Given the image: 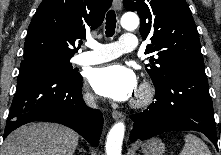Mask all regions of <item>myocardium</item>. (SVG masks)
<instances>
[{
  "label": "myocardium",
  "instance_id": "myocardium-1",
  "mask_svg": "<svg viewBox=\"0 0 221 155\" xmlns=\"http://www.w3.org/2000/svg\"><path fill=\"white\" fill-rule=\"evenodd\" d=\"M153 98V89L148 83H143L132 102V106L136 108L148 105Z\"/></svg>",
  "mask_w": 221,
  "mask_h": 155
}]
</instances>
